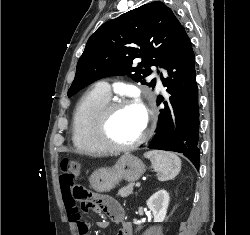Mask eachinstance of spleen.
Segmentation results:
<instances>
[{
  "instance_id": "3e777b00",
  "label": "spleen",
  "mask_w": 250,
  "mask_h": 235,
  "mask_svg": "<svg viewBox=\"0 0 250 235\" xmlns=\"http://www.w3.org/2000/svg\"><path fill=\"white\" fill-rule=\"evenodd\" d=\"M151 161L159 181H167L175 178L181 170L180 158L171 152L151 150L144 154Z\"/></svg>"
}]
</instances>
